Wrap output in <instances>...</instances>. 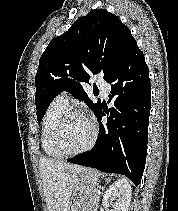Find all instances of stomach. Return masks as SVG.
<instances>
[{
  "mask_svg": "<svg viewBox=\"0 0 178 211\" xmlns=\"http://www.w3.org/2000/svg\"><path fill=\"white\" fill-rule=\"evenodd\" d=\"M99 176L100 173L92 169H86L79 175L71 192L67 211H80L89 193L96 190Z\"/></svg>",
  "mask_w": 178,
  "mask_h": 211,
  "instance_id": "1",
  "label": "stomach"
}]
</instances>
